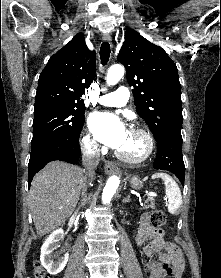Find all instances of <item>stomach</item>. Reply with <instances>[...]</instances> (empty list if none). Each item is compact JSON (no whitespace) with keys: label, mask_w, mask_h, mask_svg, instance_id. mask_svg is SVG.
<instances>
[{"label":"stomach","mask_w":221,"mask_h":278,"mask_svg":"<svg viewBox=\"0 0 221 278\" xmlns=\"http://www.w3.org/2000/svg\"><path fill=\"white\" fill-rule=\"evenodd\" d=\"M130 185L133 189L139 190L142 187V182L137 176H134L130 180Z\"/></svg>","instance_id":"0dacf381"}]
</instances>
